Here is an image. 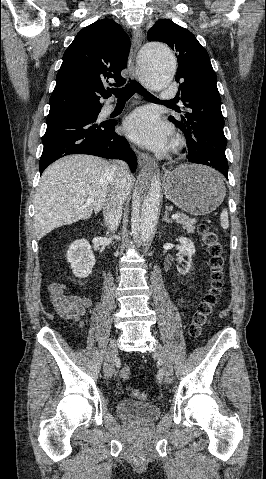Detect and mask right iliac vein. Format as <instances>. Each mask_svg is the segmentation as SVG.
I'll return each instance as SVG.
<instances>
[{
  "label": "right iliac vein",
  "instance_id": "obj_1",
  "mask_svg": "<svg viewBox=\"0 0 266 479\" xmlns=\"http://www.w3.org/2000/svg\"><path fill=\"white\" fill-rule=\"evenodd\" d=\"M118 352V341L116 339L109 343L105 363H104V375L109 378L114 371V360Z\"/></svg>",
  "mask_w": 266,
  "mask_h": 479
}]
</instances>
